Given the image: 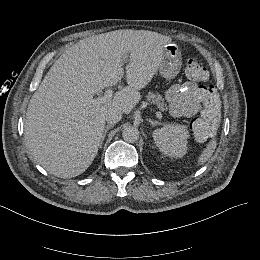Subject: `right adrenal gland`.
<instances>
[{
	"label": "right adrenal gland",
	"instance_id": "right-adrenal-gland-1",
	"mask_svg": "<svg viewBox=\"0 0 260 260\" xmlns=\"http://www.w3.org/2000/svg\"><path fill=\"white\" fill-rule=\"evenodd\" d=\"M113 126H114V125H106L105 130H104V133H103V137H102V143H103V141H104V139H105V137H106L107 132H108Z\"/></svg>",
	"mask_w": 260,
	"mask_h": 260
}]
</instances>
